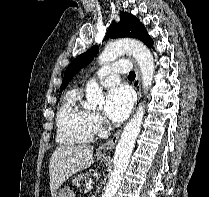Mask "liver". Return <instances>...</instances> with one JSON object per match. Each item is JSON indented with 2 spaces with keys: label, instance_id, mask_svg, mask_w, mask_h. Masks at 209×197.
Returning <instances> with one entry per match:
<instances>
[{
  "label": "liver",
  "instance_id": "liver-1",
  "mask_svg": "<svg viewBox=\"0 0 209 197\" xmlns=\"http://www.w3.org/2000/svg\"><path fill=\"white\" fill-rule=\"evenodd\" d=\"M93 146L60 145L51 158L49 164L50 190L52 197L57 189L73 174L93 164Z\"/></svg>",
  "mask_w": 209,
  "mask_h": 197
}]
</instances>
